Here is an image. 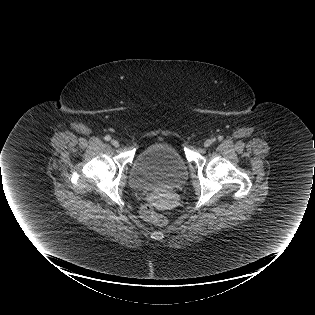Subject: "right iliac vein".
<instances>
[{"label": "right iliac vein", "instance_id": "63e3f726", "mask_svg": "<svg viewBox=\"0 0 315 315\" xmlns=\"http://www.w3.org/2000/svg\"><path fill=\"white\" fill-rule=\"evenodd\" d=\"M111 144L115 147H118L119 146V142L115 139L111 140Z\"/></svg>", "mask_w": 315, "mask_h": 315}]
</instances>
